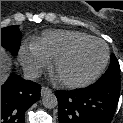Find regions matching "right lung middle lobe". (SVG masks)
Segmentation results:
<instances>
[{
    "mask_svg": "<svg viewBox=\"0 0 123 123\" xmlns=\"http://www.w3.org/2000/svg\"><path fill=\"white\" fill-rule=\"evenodd\" d=\"M21 33L18 26H9L1 29V46L16 55L19 49Z\"/></svg>",
    "mask_w": 123,
    "mask_h": 123,
    "instance_id": "dd1d6c3e",
    "label": "right lung middle lobe"
}]
</instances>
